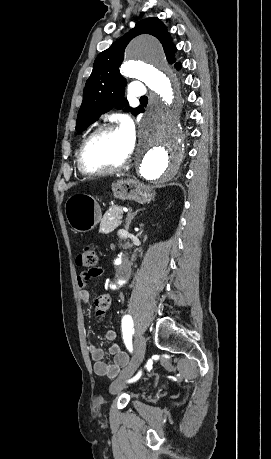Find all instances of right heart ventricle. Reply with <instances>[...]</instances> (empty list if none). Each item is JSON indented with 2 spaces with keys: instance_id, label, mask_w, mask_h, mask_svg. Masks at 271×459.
I'll list each match as a JSON object with an SVG mask.
<instances>
[{
  "instance_id": "e07e8e85",
  "label": "right heart ventricle",
  "mask_w": 271,
  "mask_h": 459,
  "mask_svg": "<svg viewBox=\"0 0 271 459\" xmlns=\"http://www.w3.org/2000/svg\"><path fill=\"white\" fill-rule=\"evenodd\" d=\"M75 163H76L77 171H78V173H79L80 176L85 177V178L90 177L89 174H86L85 172H83V171L81 170V168L79 167L78 162H77V153H76V156H75Z\"/></svg>"
}]
</instances>
